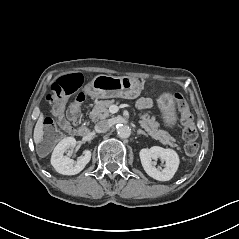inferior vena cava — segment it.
Returning <instances> with one entry per match:
<instances>
[{
	"label": "inferior vena cava",
	"instance_id": "1",
	"mask_svg": "<svg viewBox=\"0 0 239 239\" xmlns=\"http://www.w3.org/2000/svg\"><path fill=\"white\" fill-rule=\"evenodd\" d=\"M110 129V123L108 120H101L95 125V130L98 133L107 132Z\"/></svg>",
	"mask_w": 239,
	"mask_h": 239
}]
</instances>
